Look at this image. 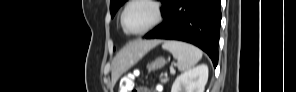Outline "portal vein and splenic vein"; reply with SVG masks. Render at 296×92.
<instances>
[{
  "label": "portal vein and splenic vein",
  "instance_id": "obj_1",
  "mask_svg": "<svg viewBox=\"0 0 296 92\" xmlns=\"http://www.w3.org/2000/svg\"><path fill=\"white\" fill-rule=\"evenodd\" d=\"M170 73H171V74H174V73H175V70H174L173 67L170 68Z\"/></svg>",
  "mask_w": 296,
  "mask_h": 92
}]
</instances>
